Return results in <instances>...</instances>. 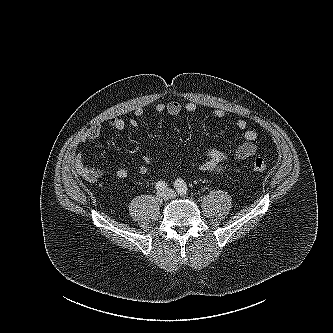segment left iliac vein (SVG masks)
<instances>
[{
    "label": "left iliac vein",
    "instance_id": "1",
    "mask_svg": "<svg viewBox=\"0 0 333 333\" xmlns=\"http://www.w3.org/2000/svg\"><path fill=\"white\" fill-rule=\"evenodd\" d=\"M166 191L170 198H175L177 196V194L172 189H167Z\"/></svg>",
    "mask_w": 333,
    "mask_h": 333
}]
</instances>
